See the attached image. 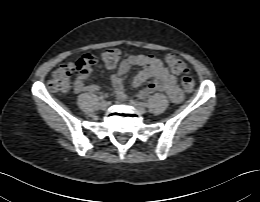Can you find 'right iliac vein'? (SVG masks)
I'll list each match as a JSON object with an SVG mask.
<instances>
[{"mask_svg": "<svg viewBox=\"0 0 260 202\" xmlns=\"http://www.w3.org/2000/svg\"><path fill=\"white\" fill-rule=\"evenodd\" d=\"M100 108H101L102 110H106V109L108 108V102L102 101V102L100 103Z\"/></svg>", "mask_w": 260, "mask_h": 202, "instance_id": "1", "label": "right iliac vein"}]
</instances>
